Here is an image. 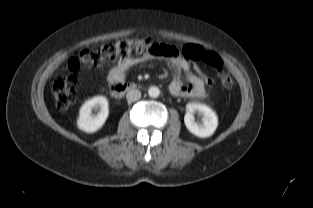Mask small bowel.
Returning <instances> with one entry per match:
<instances>
[{
  "instance_id": "c3829d8e",
  "label": "small bowel",
  "mask_w": 313,
  "mask_h": 208,
  "mask_svg": "<svg viewBox=\"0 0 313 208\" xmlns=\"http://www.w3.org/2000/svg\"><path fill=\"white\" fill-rule=\"evenodd\" d=\"M165 47L164 55L169 59L171 69V80L169 91L175 96H183L190 100L200 99L208 96V85L204 78L191 71L195 68L185 57H181L177 49ZM151 54L141 56H131L129 54L119 55L107 70V80L112 84L121 83L124 80L126 71L141 62L148 60ZM101 68L100 64L96 65ZM196 69V68H195Z\"/></svg>"
}]
</instances>
